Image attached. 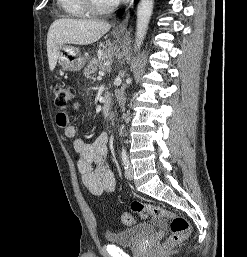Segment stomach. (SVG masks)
Masks as SVG:
<instances>
[{
    "instance_id": "obj_1",
    "label": "stomach",
    "mask_w": 247,
    "mask_h": 257,
    "mask_svg": "<svg viewBox=\"0 0 247 257\" xmlns=\"http://www.w3.org/2000/svg\"><path fill=\"white\" fill-rule=\"evenodd\" d=\"M113 36L119 39L123 34L113 33ZM58 61L61 68L65 71H79L84 67L87 59L81 55L76 47L64 46L62 47V52L59 54Z\"/></svg>"
}]
</instances>
